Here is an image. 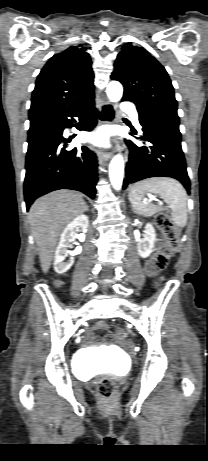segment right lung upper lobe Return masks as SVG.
<instances>
[{
  "label": "right lung upper lobe",
  "instance_id": "obj_1",
  "mask_svg": "<svg viewBox=\"0 0 208 461\" xmlns=\"http://www.w3.org/2000/svg\"><path fill=\"white\" fill-rule=\"evenodd\" d=\"M86 48L71 46L55 54L37 77L32 93L30 120L73 112L94 100V74Z\"/></svg>",
  "mask_w": 208,
  "mask_h": 461
}]
</instances>
